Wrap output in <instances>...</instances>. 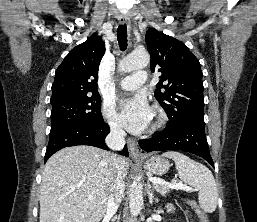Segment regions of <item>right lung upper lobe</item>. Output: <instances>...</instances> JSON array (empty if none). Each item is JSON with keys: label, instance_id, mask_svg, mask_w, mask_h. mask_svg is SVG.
Returning a JSON list of instances; mask_svg holds the SVG:
<instances>
[{"label": "right lung upper lobe", "instance_id": "obj_1", "mask_svg": "<svg viewBox=\"0 0 257 222\" xmlns=\"http://www.w3.org/2000/svg\"><path fill=\"white\" fill-rule=\"evenodd\" d=\"M104 53L105 43L96 33L73 48L55 72L51 100L99 95L98 68Z\"/></svg>", "mask_w": 257, "mask_h": 222}]
</instances>
